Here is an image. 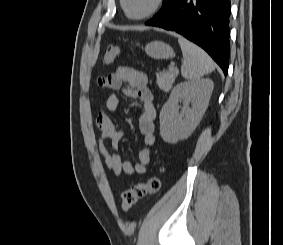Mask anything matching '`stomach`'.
<instances>
[{"label":"stomach","mask_w":283,"mask_h":245,"mask_svg":"<svg viewBox=\"0 0 283 245\" xmlns=\"http://www.w3.org/2000/svg\"><path fill=\"white\" fill-rule=\"evenodd\" d=\"M148 56L154 59H169L174 57L173 49L162 41H152L145 47Z\"/></svg>","instance_id":"stomach-1"}]
</instances>
